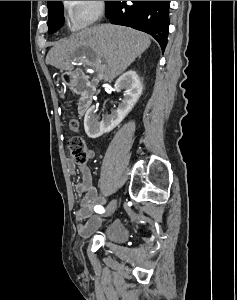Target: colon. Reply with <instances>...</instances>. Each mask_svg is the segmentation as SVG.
<instances>
[{"instance_id": "colon-1", "label": "colon", "mask_w": 237, "mask_h": 300, "mask_svg": "<svg viewBox=\"0 0 237 300\" xmlns=\"http://www.w3.org/2000/svg\"><path fill=\"white\" fill-rule=\"evenodd\" d=\"M67 148L69 149L74 161L77 164L83 165L87 163L88 161L87 149L85 146V142L81 137L78 136L71 137L67 141Z\"/></svg>"}]
</instances>
